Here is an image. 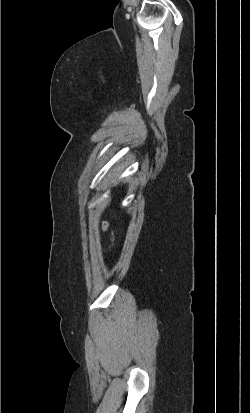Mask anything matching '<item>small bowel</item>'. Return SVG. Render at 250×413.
<instances>
[{
	"mask_svg": "<svg viewBox=\"0 0 250 413\" xmlns=\"http://www.w3.org/2000/svg\"><path fill=\"white\" fill-rule=\"evenodd\" d=\"M104 228L106 229V228H107V226L105 225V226H104Z\"/></svg>",
	"mask_w": 250,
	"mask_h": 413,
	"instance_id": "c3829d8e",
	"label": "small bowel"
}]
</instances>
